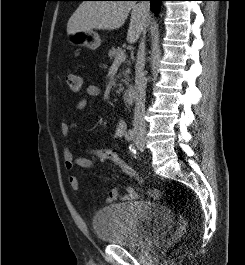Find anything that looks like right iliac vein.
I'll return each instance as SVG.
<instances>
[{
  "label": "right iliac vein",
  "instance_id": "right-iliac-vein-1",
  "mask_svg": "<svg viewBox=\"0 0 245 265\" xmlns=\"http://www.w3.org/2000/svg\"><path fill=\"white\" fill-rule=\"evenodd\" d=\"M144 143H145L144 140H138L139 145H144Z\"/></svg>",
  "mask_w": 245,
  "mask_h": 265
}]
</instances>
